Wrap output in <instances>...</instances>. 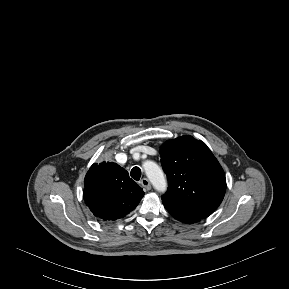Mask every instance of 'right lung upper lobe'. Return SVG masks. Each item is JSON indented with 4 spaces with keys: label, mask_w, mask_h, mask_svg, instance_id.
Segmentation results:
<instances>
[{
    "label": "right lung upper lobe",
    "mask_w": 289,
    "mask_h": 289,
    "mask_svg": "<svg viewBox=\"0 0 289 289\" xmlns=\"http://www.w3.org/2000/svg\"><path fill=\"white\" fill-rule=\"evenodd\" d=\"M84 186L86 206L103 220L123 218L144 196L128 172L113 162L94 163L85 176Z\"/></svg>",
    "instance_id": "1"
}]
</instances>
